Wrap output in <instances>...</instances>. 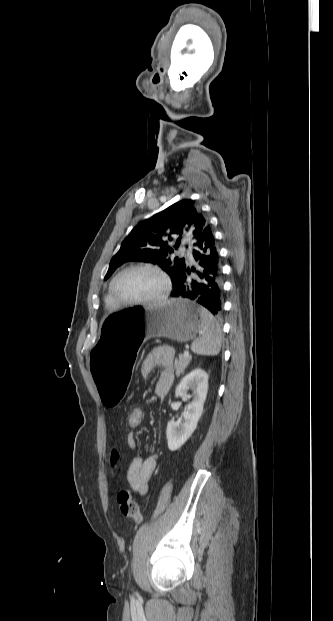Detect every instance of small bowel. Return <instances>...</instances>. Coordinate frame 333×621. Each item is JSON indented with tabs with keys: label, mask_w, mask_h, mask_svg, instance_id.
<instances>
[{
	"label": "small bowel",
	"mask_w": 333,
	"mask_h": 621,
	"mask_svg": "<svg viewBox=\"0 0 333 621\" xmlns=\"http://www.w3.org/2000/svg\"><path fill=\"white\" fill-rule=\"evenodd\" d=\"M173 359V350L168 348H155L148 353L142 363L141 372L145 377L149 376L157 367L162 369L155 385V394L158 397L166 395L173 384ZM128 443L131 448L135 447L132 435H129ZM116 459L117 454L113 453L112 463H115ZM155 467L156 455L153 453L133 458L127 471V480L135 492L140 495H144L147 492L148 482L153 475Z\"/></svg>",
	"instance_id": "obj_1"
}]
</instances>
